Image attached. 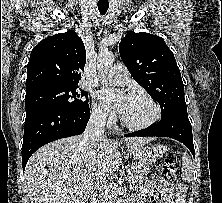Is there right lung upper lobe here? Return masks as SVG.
Wrapping results in <instances>:
<instances>
[{
    "mask_svg": "<svg viewBox=\"0 0 222 203\" xmlns=\"http://www.w3.org/2000/svg\"><path fill=\"white\" fill-rule=\"evenodd\" d=\"M85 62V46L74 30L49 36L31 51L26 91L48 86L77 85Z\"/></svg>",
    "mask_w": 222,
    "mask_h": 203,
    "instance_id": "1",
    "label": "right lung upper lobe"
}]
</instances>
